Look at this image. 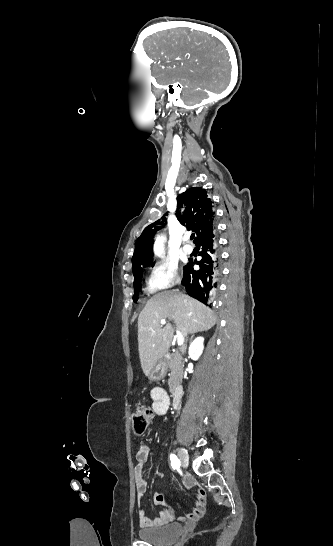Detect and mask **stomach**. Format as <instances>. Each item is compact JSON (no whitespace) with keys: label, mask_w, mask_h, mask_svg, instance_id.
Returning <instances> with one entry per match:
<instances>
[{"label":"stomach","mask_w":333,"mask_h":546,"mask_svg":"<svg viewBox=\"0 0 333 546\" xmlns=\"http://www.w3.org/2000/svg\"><path fill=\"white\" fill-rule=\"evenodd\" d=\"M167 373V360L166 357L163 356L152 368L149 379L152 381L161 380L166 376Z\"/></svg>","instance_id":"stomach-1"}]
</instances>
